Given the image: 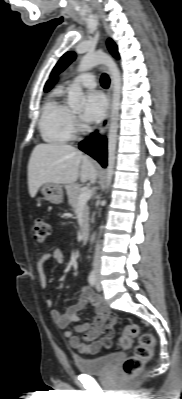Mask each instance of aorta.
<instances>
[{
	"mask_svg": "<svg viewBox=\"0 0 182 399\" xmlns=\"http://www.w3.org/2000/svg\"><path fill=\"white\" fill-rule=\"evenodd\" d=\"M103 64L105 65L111 75L112 80V105L110 114V125L108 133V166H107V188H109L112 177L114 174V166L116 159V145H117V131H118V120H119V109H120V98H121V74L114 62V60L106 53L98 51L92 54H86L82 57L78 72H86L93 67ZM85 96L79 83L74 82L68 92V105L72 109H81L84 105Z\"/></svg>",
	"mask_w": 182,
	"mask_h": 399,
	"instance_id": "aorta-1",
	"label": "aorta"
}]
</instances>
